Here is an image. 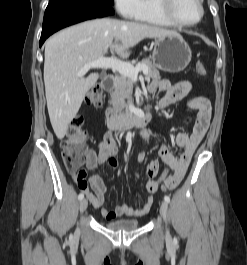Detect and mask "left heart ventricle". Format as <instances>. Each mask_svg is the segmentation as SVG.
<instances>
[{"mask_svg":"<svg viewBox=\"0 0 247 265\" xmlns=\"http://www.w3.org/2000/svg\"><path fill=\"white\" fill-rule=\"evenodd\" d=\"M176 16L183 22H194L200 16V8L196 0H176L174 4Z\"/></svg>","mask_w":247,"mask_h":265,"instance_id":"1","label":"left heart ventricle"}]
</instances>
